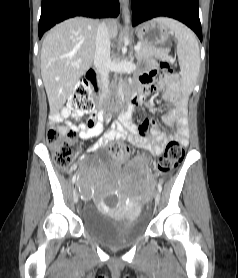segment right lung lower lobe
I'll use <instances>...</instances> for the list:
<instances>
[{
    "mask_svg": "<svg viewBox=\"0 0 238 278\" xmlns=\"http://www.w3.org/2000/svg\"><path fill=\"white\" fill-rule=\"evenodd\" d=\"M119 0H42L38 35L55 24L75 16L91 18L116 17Z\"/></svg>",
    "mask_w": 238,
    "mask_h": 278,
    "instance_id": "obj_1",
    "label": "right lung lower lobe"
}]
</instances>
